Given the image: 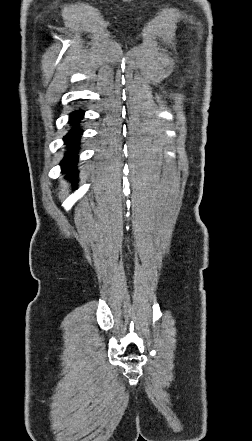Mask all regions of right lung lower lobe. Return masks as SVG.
<instances>
[{"label":"right lung lower lobe","mask_w":252,"mask_h":441,"mask_svg":"<svg viewBox=\"0 0 252 441\" xmlns=\"http://www.w3.org/2000/svg\"><path fill=\"white\" fill-rule=\"evenodd\" d=\"M84 113L82 110L75 111L70 115V122L72 129L64 137L65 143L68 145L69 152L65 154L63 161L61 162L62 171L68 172L66 178L77 182L78 171L76 169V162L78 160V143L82 130L79 128V122L82 119Z\"/></svg>","instance_id":"98d812e1"}]
</instances>
